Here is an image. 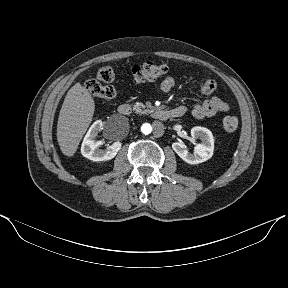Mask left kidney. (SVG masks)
I'll list each match as a JSON object with an SVG mask.
<instances>
[{"label":"left kidney","instance_id":"left-kidney-1","mask_svg":"<svg viewBox=\"0 0 288 288\" xmlns=\"http://www.w3.org/2000/svg\"><path fill=\"white\" fill-rule=\"evenodd\" d=\"M191 136L199 138L202 142L195 146L193 154L188 152L182 141L174 142L172 148L177 155L189 164H199L210 159L214 151L212 132L207 128L197 126L191 129Z\"/></svg>","mask_w":288,"mask_h":288}]
</instances>
